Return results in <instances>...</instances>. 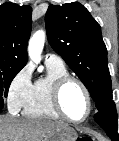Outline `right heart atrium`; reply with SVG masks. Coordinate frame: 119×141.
Instances as JSON below:
<instances>
[{
    "label": "right heart atrium",
    "mask_w": 119,
    "mask_h": 141,
    "mask_svg": "<svg viewBox=\"0 0 119 141\" xmlns=\"http://www.w3.org/2000/svg\"><path fill=\"white\" fill-rule=\"evenodd\" d=\"M32 89V68L24 66L11 80L7 91V103L11 112L24 108Z\"/></svg>",
    "instance_id": "obj_1"
}]
</instances>
